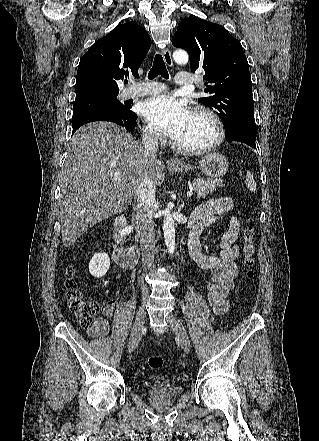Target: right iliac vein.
Segmentation results:
<instances>
[{
  "label": "right iliac vein",
  "mask_w": 319,
  "mask_h": 441,
  "mask_svg": "<svg viewBox=\"0 0 319 441\" xmlns=\"http://www.w3.org/2000/svg\"><path fill=\"white\" fill-rule=\"evenodd\" d=\"M146 318V310L144 304L139 308L135 322L131 331V335L128 342V352L132 353L139 344L141 334L143 331L144 323Z\"/></svg>",
  "instance_id": "63e3f726"
}]
</instances>
